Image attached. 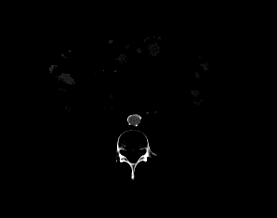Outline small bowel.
Wrapping results in <instances>:
<instances>
[{"label": "small bowel", "mask_w": 277, "mask_h": 218, "mask_svg": "<svg viewBox=\"0 0 277 218\" xmlns=\"http://www.w3.org/2000/svg\"><path fill=\"white\" fill-rule=\"evenodd\" d=\"M163 44H169L173 47H177L183 51H185L191 58H196L199 59V55L194 52L193 50H191L190 48H188L184 43H182L180 40L176 39V38H172V37H164V36H154L153 38H151V40L146 44V46H143L142 48L140 46L136 47V53L135 55H124L123 59L126 63H134L139 59L140 54L143 51H146L149 55H155V54H159L161 47ZM126 45H129V43L126 42ZM74 51V48L72 46L65 48L60 54L59 57L61 59H67ZM58 64L59 61L55 60L52 61L49 66H48V71L51 74H57V69H58ZM61 80L62 81H66L67 78L66 77H62L61 76ZM90 84H93L94 81L91 80L89 82ZM184 99V98H183Z\"/></svg>", "instance_id": "small-bowel-1"}]
</instances>
